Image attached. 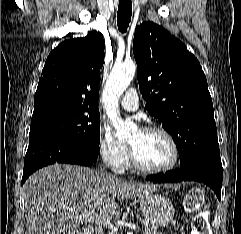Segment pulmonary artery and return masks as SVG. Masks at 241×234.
Listing matches in <instances>:
<instances>
[{
    "label": "pulmonary artery",
    "instance_id": "1",
    "mask_svg": "<svg viewBox=\"0 0 241 234\" xmlns=\"http://www.w3.org/2000/svg\"><path fill=\"white\" fill-rule=\"evenodd\" d=\"M121 105L125 110L135 111L139 106V97L135 88H130L121 99Z\"/></svg>",
    "mask_w": 241,
    "mask_h": 234
}]
</instances>
